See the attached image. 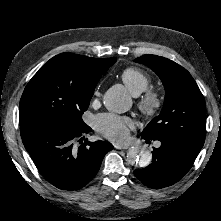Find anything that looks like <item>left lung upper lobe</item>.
Instances as JSON below:
<instances>
[{
  "label": "left lung upper lobe",
  "instance_id": "1",
  "mask_svg": "<svg viewBox=\"0 0 221 221\" xmlns=\"http://www.w3.org/2000/svg\"><path fill=\"white\" fill-rule=\"evenodd\" d=\"M151 68L165 87V101L159 116L143 130L141 137L174 141L200 152L205 140V100L190 73L179 64L156 55L134 60Z\"/></svg>",
  "mask_w": 221,
  "mask_h": 221
}]
</instances>
